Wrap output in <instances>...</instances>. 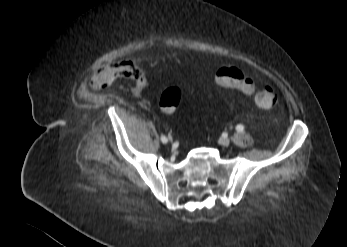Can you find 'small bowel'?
Listing matches in <instances>:
<instances>
[{
  "mask_svg": "<svg viewBox=\"0 0 347 247\" xmlns=\"http://www.w3.org/2000/svg\"><path fill=\"white\" fill-rule=\"evenodd\" d=\"M119 77H126L132 82L130 88L135 94H139L146 83L141 68L134 61H124L101 68L93 74L91 83L92 86L97 87L102 84H109Z\"/></svg>",
  "mask_w": 347,
  "mask_h": 247,
  "instance_id": "1",
  "label": "small bowel"
}]
</instances>
